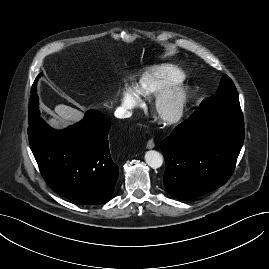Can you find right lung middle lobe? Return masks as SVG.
<instances>
[{
	"label": "right lung middle lobe",
	"mask_w": 269,
	"mask_h": 269,
	"mask_svg": "<svg viewBox=\"0 0 269 269\" xmlns=\"http://www.w3.org/2000/svg\"><path fill=\"white\" fill-rule=\"evenodd\" d=\"M39 76H41V74ZM36 86H37V80L35 81L31 90V98L29 104V125H34L40 118L38 110V96Z\"/></svg>",
	"instance_id": "right-lung-middle-lobe-1"
}]
</instances>
